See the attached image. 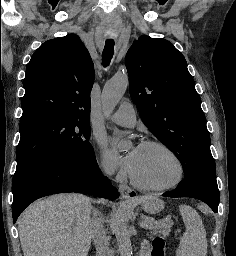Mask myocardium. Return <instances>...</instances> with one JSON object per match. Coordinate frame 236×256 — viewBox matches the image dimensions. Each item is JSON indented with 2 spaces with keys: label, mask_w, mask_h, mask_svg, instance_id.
I'll use <instances>...</instances> for the list:
<instances>
[{
  "label": "myocardium",
  "mask_w": 236,
  "mask_h": 256,
  "mask_svg": "<svg viewBox=\"0 0 236 256\" xmlns=\"http://www.w3.org/2000/svg\"><path fill=\"white\" fill-rule=\"evenodd\" d=\"M139 147H142V148L157 147V148H161V149L165 150L175 160V162L178 166L179 172H178L177 177L172 182H170L166 185H163V186L150 187V186L141 184L129 170V172H128L129 181L133 187H135L136 189H138L140 191L146 192V193H161V192H164V191H167V190H170V189L176 187L177 185H179L182 182L184 175H185V166H184L182 159L180 158V156L174 149H172L167 144H165L161 141H157V140L144 141L139 145Z\"/></svg>",
  "instance_id": "f54148a6"
}]
</instances>
